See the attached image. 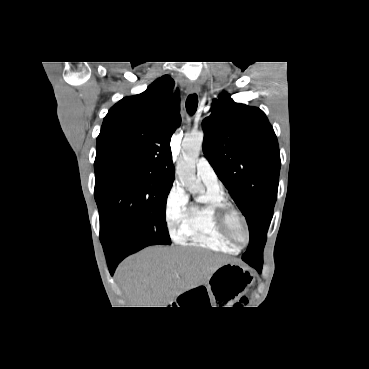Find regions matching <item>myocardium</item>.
I'll return each mask as SVG.
<instances>
[{"instance_id":"obj_1","label":"myocardium","mask_w":369,"mask_h":369,"mask_svg":"<svg viewBox=\"0 0 369 369\" xmlns=\"http://www.w3.org/2000/svg\"><path fill=\"white\" fill-rule=\"evenodd\" d=\"M234 220L239 222L244 231V241L238 240L235 236L233 229ZM216 221L221 233L231 244L237 248H243L249 244L250 230L244 215L238 209L227 202L223 203L217 208Z\"/></svg>"}]
</instances>
